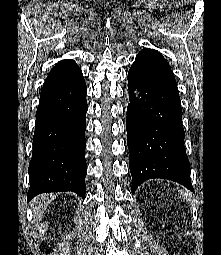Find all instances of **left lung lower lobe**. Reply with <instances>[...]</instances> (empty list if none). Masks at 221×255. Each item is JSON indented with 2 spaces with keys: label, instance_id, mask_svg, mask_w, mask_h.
<instances>
[{
  "label": "left lung lower lobe",
  "instance_id": "obj_1",
  "mask_svg": "<svg viewBox=\"0 0 221 255\" xmlns=\"http://www.w3.org/2000/svg\"><path fill=\"white\" fill-rule=\"evenodd\" d=\"M126 130L132 193L144 181L163 178L194 192L184 148L182 109L174 74L156 50H141L128 72ZM134 90L139 91L138 99Z\"/></svg>",
  "mask_w": 221,
  "mask_h": 255
}]
</instances>
